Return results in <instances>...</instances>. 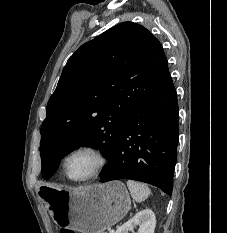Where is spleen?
<instances>
[{"instance_id": "3e777b00", "label": "spleen", "mask_w": 227, "mask_h": 233, "mask_svg": "<svg viewBox=\"0 0 227 233\" xmlns=\"http://www.w3.org/2000/svg\"><path fill=\"white\" fill-rule=\"evenodd\" d=\"M127 186L133 200H135L136 202H143L151 194V191L148 188V186H146L143 183L134 180H128Z\"/></svg>"}]
</instances>
